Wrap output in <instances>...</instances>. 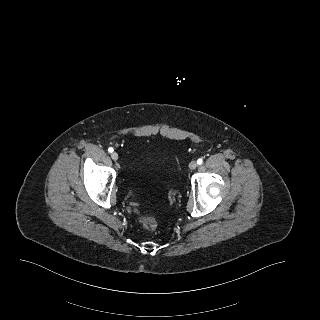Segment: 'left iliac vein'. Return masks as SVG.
<instances>
[{"mask_svg": "<svg viewBox=\"0 0 320 320\" xmlns=\"http://www.w3.org/2000/svg\"><path fill=\"white\" fill-rule=\"evenodd\" d=\"M196 167H197V162H196V161H191V162L189 163V168H190L191 170L196 169Z\"/></svg>", "mask_w": 320, "mask_h": 320, "instance_id": "obj_1", "label": "left iliac vein"}]
</instances>
